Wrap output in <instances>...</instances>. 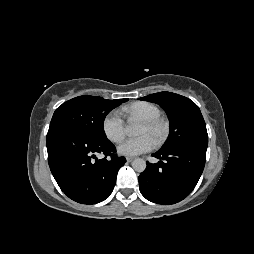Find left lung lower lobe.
I'll use <instances>...</instances> for the list:
<instances>
[{
    "instance_id": "left-lung-lower-lobe-1",
    "label": "left lung lower lobe",
    "mask_w": 254,
    "mask_h": 254,
    "mask_svg": "<svg viewBox=\"0 0 254 254\" xmlns=\"http://www.w3.org/2000/svg\"><path fill=\"white\" fill-rule=\"evenodd\" d=\"M207 146L187 144L152 154L158 163H147L138 177L140 192L149 201L170 205L195 188L205 165Z\"/></svg>"
}]
</instances>
